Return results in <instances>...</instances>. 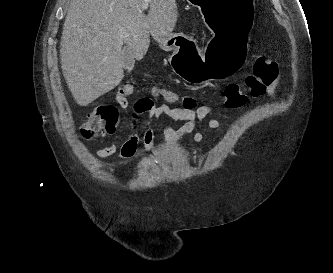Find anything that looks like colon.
I'll list each match as a JSON object with an SVG mask.
<instances>
[{
  "mask_svg": "<svg viewBox=\"0 0 333 273\" xmlns=\"http://www.w3.org/2000/svg\"><path fill=\"white\" fill-rule=\"evenodd\" d=\"M278 72L276 61L270 56H259L253 66L252 73L243 84L232 83L226 86L222 102L228 108L243 106L248 97L262 95L268 85L275 79ZM135 91V80L128 78L119 88V94L129 96ZM152 94L170 104H181L183 108L192 109L198 99L191 94H180L165 88L154 87ZM118 123V111L111 105H99L91 111L81 127V134L86 139H96L115 130Z\"/></svg>",
  "mask_w": 333,
  "mask_h": 273,
  "instance_id": "obj_1",
  "label": "colon"
}]
</instances>
